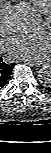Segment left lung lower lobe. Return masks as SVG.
Wrapping results in <instances>:
<instances>
[{"instance_id": "0a47b994", "label": "left lung lower lobe", "mask_w": 51, "mask_h": 153, "mask_svg": "<svg viewBox=\"0 0 51 153\" xmlns=\"http://www.w3.org/2000/svg\"><path fill=\"white\" fill-rule=\"evenodd\" d=\"M49 91H51V88H47Z\"/></svg>"}]
</instances>
